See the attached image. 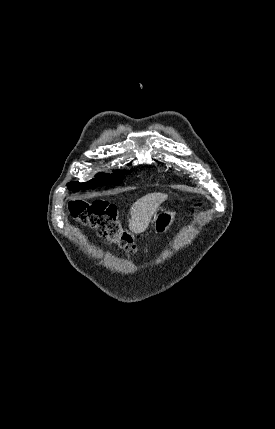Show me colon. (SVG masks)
<instances>
[{"label":"colon","instance_id":"colon-1","mask_svg":"<svg viewBox=\"0 0 275 429\" xmlns=\"http://www.w3.org/2000/svg\"><path fill=\"white\" fill-rule=\"evenodd\" d=\"M69 213L82 225L95 229L99 236L117 244L125 253L136 254V240L121 228L115 205L103 200H77L69 204Z\"/></svg>","mask_w":275,"mask_h":429}]
</instances>
